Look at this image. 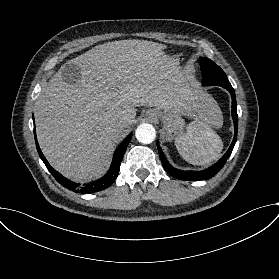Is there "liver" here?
Listing matches in <instances>:
<instances>
[{
  "mask_svg": "<svg viewBox=\"0 0 279 279\" xmlns=\"http://www.w3.org/2000/svg\"><path fill=\"white\" fill-rule=\"evenodd\" d=\"M166 48L152 41H114L70 61L80 67L76 83L65 82L61 70L54 75L37 101L35 121L40 147L56 170L74 181L101 175L134 123L136 107L202 117L200 90ZM121 119L127 124L118 131Z\"/></svg>",
  "mask_w": 279,
  "mask_h": 279,
  "instance_id": "liver-1",
  "label": "liver"
}]
</instances>
